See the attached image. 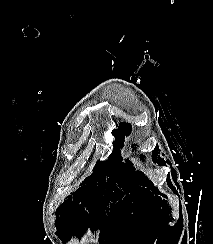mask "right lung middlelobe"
Instances as JSON below:
<instances>
[{"label":"right lung middle lobe","instance_id":"dd1d6c3e","mask_svg":"<svg viewBox=\"0 0 213 244\" xmlns=\"http://www.w3.org/2000/svg\"><path fill=\"white\" fill-rule=\"evenodd\" d=\"M115 134V132H113ZM116 142L114 143V152L109 156V160L105 162L98 161L92 176L87 178L84 183L97 182L101 178L106 179L109 177L113 178L116 174H120L127 171L128 165L122 163L121 156L119 155L118 149L123 145V139L119 138L118 134H115Z\"/></svg>","mask_w":213,"mask_h":244}]
</instances>
